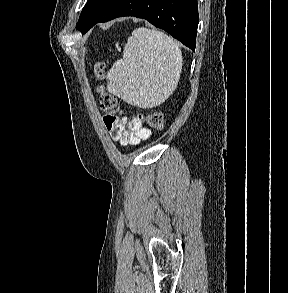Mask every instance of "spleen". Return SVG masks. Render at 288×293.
Returning <instances> with one entry per match:
<instances>
[{
	"label": "spleen",
	"instance_id": "obj_1",
	"mask_svg": "<svg viewBox=\"0 0 288 293\" xmlns=\"http://www.w3.org/2000/svg\"><path fill=\"white\" fill-rule=\"evenodd\" d=\"M179 45L163 32L139 27L107 73V89L134 106L151 108L175 90L182 70Z\"/></svg>",
	"mask_w": 288,
	"mask_h": 293
}]
</instances>
